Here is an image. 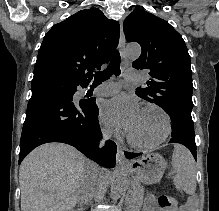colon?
Returning a JSON list of instances; mask_svg holds the SVG:
<instances>
[{
    "instance_id": "1",
    "label": "colon",
    "mask_w": 219,
    "mask_h": 211,
    "mask_svg": "<svg viewBox=\"0 0 219 211\" xmlns=\"http://www.w3.org/2000/svg\"><path fill=\"white\" fill-rule=\"evenodd\" d=\"M159 206L165 211H176L177 201L170 195H160L158 197Z\"/></svg>"
}]
</instances>
